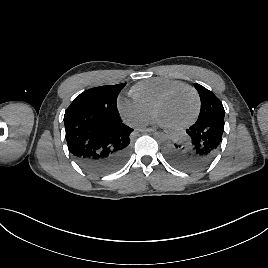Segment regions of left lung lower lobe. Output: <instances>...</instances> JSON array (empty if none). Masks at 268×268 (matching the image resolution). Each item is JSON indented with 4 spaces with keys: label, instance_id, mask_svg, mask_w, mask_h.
I'll return each instance as SVG.
<instances>
[{
    "label": "left lung lower lobe",
    "instance_id": "1",
    "mask_svg": "<svg viewBox=\"0 0 268 268\" xmlns=\"http://www.w3.org/2000/svg\"><path fill=\"white\" fill-rule=\"evenodd\" d=\"M224 132V118L199 121L186 130L185 135L165 149L168 160L185 171H199L207 167L218 154Z\"/></svg>",
    "mask_w": 268,
    "mask_h": 268
}]
</instances>
